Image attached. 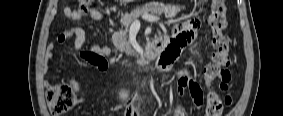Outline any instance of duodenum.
I'll return each mask as SVG.
<instances>
[{"label": "duodenum", "mask_w": 283, "mask_h": 116, "mask_svg": "<svg viewBox=\"0 0 283 116\" xmlns=\"http://www.w3.org/2000/svg\"><path fill=\"white\" fill-rule=\"evenodd\" d=\"M163 45L164 42L161 39L155 40L151 45L148 46L146 52L143 54V58L148 60L154 59L156 57L161 58ZM173 60L174 58H167L165 62L172 63Z\"/></svg>", "instance_id": "obj_1"}]
</instances>
